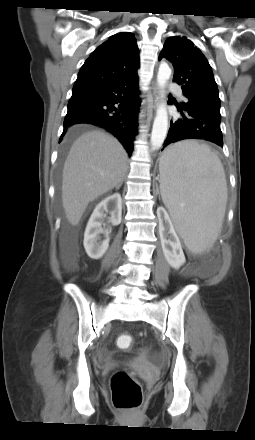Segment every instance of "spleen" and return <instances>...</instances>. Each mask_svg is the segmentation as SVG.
Wrapping results in <instances>:
<instances>
[{"label":"spleen","instance_id":"spleen-1","mask_svg":"<svg viewBox=\"0 0 255 440\" xmlns=\"http://www.w3.org/2000/svg\"><path fill=\"white\" fill-rule=\"evenodd\" d=\"M169 168L160 171L163 203L188 249L209 250L217 240L227 204L222 163L205 144L186 141L165 151Z\"/></svg>","mask_w":255,"mask_h":440}]
</instances>
